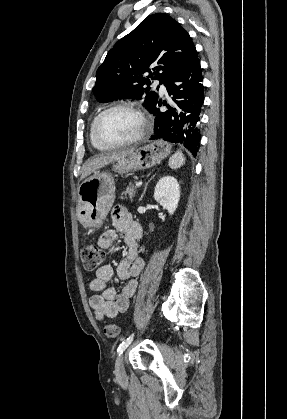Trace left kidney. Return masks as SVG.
I'll return each instance as SVG.
<instances>
[{
  "label": "left kidney",
  "instance_id": "left-kidney-1",
  "mask_svg": "<svg viewBox=\"0 0 287 419\" xmlns=\"http://www.w3.org/2000/svg\"><path fill=\"white\" fill-rule=\"evenodd\" d=\"M154 199L172 215L180 199V186L173 176H164L156 184Z\"/></svg>",
  "mask_w": 287,
  "mask_h": 419
}]
</instances>
